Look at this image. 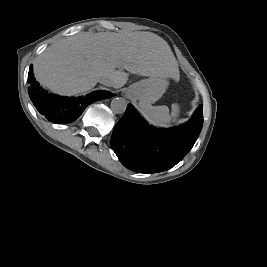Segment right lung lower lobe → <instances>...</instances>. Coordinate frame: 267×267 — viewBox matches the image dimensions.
I'll list each match as a JSON object with an SVG mask.
<instances>
[{
  "label": "right lung lower lobe",
  "mask_w": 267,
  "mask_h": 267,
  "mask_svg": "<svg viewBox=\"0 0 267 267\" xmlns=\"http://www.w3.org/2000/svg\"><path fill=\"white\" fill-rule=\"evenodd\" d=\"M29 97L38 112L49 121L56 124H66L75 121L85 108L95 101L107 99L111 94L96 91L85 97H61L48 93L33 77L32 66L28 74Z\"/></svg>",
  "instance_id": "right-lung-lower-lobe-1"
}]
</instances>
